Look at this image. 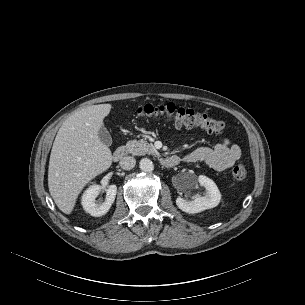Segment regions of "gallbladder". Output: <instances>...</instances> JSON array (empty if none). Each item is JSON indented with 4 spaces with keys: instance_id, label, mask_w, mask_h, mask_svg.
I'll return each mask as SVG.
<instances>
[{
    "instance_id": "1",
    "label": "gallbladder",
    "mask_w": 305,
    "mask_h": 305,
    "mask_svg": "<svg viewBox=\"0 0 305 305\" xmlns=\"http://www.w3.org/2000/svg\"><path fill=\"white\" fill-rule=\"evenodd\" d=\"M98 136L102 143H104L107 146H110L112 144V137L109 133V131L105 128V126H102L98 132Z\"/></svg>"
}]
</instances>
